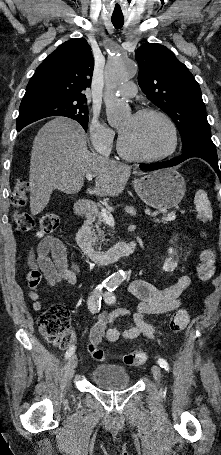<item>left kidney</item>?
Segmentation results:
<instances>
[{"instance_id":"5707ae66","label":"left kidney","mask_w":221,"mask_h":455,"mask_svg":"<svg viewBox=\"0 0 221 455\" xmlns=\"http://www.w3.org/2000/svg\"><path fill=\"white\" fill-rule=\"evenodd\" d=\"M168 254H169V257L166 258L164 261L163 270L170 272V271H174L175 268L177 267V261L173 260V258L175 256H177V253L172 248H170Z\"/></svg>"}]
</instances>
